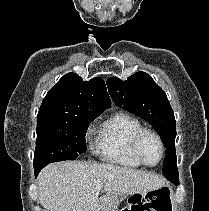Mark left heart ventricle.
Returning a JSON list of instances; mask_svg holds the SVG:
<instances>
[{
    "mask_svg": "<svg viewBox=\"0 0 209 211\" xmlns=\"http://www.w3.org/2000/svg\"><path fill=\"white\" fill-rule=\"evenodd\" d=\"M140 152L144 160L149 164L158 162L161 150L157 140L151 135H145L140 142Z\"/></svg>",
    "mask_w": 209,
    "mask_h": 211,
    "instance_id": "obj_1",
    "label": "left heart ventricle"
}]
</instances>
